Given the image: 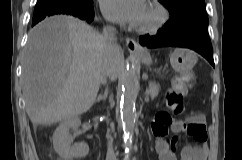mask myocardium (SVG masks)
I'll use <instances>...</instances> for the list:
<instances>
[{
	"mask_svg": "<svg viewBox=\"0 0 242 160\" xmlns=\"http://www.w3.org/2000/svg\"><path fill=\"white\" fill-rule=\"evenodd\" d=\"M148 5L156 12V19L153 23L137 25L135 29L142 34L154 35L160 32L168 23L170 13L168 9L157 0L149 1Z\"/></svg>",
	"mask_w": 242,
	"mask_h": 160,
	"instance_id": "1",
	"label": "myocardium"
}]
</instances>
